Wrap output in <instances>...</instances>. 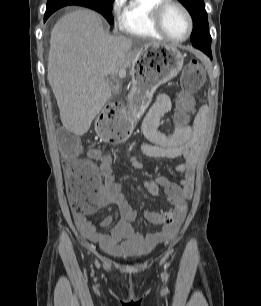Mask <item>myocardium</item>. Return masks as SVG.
Segmentation results:
<instances>
[{"mask_svg": "<svg viewBox=\"0 0 261 306\" xmlns=\"http://www.w3.org/2000/svg\"><path fill=\"white\" fill-rule=\"evenodd\" d=\"M169 6H175L177 8H179L183 14L185 15L186 19H187V24H188V29H187V33L183 38L180 39H176L171 37L162 22V17H163V13L165 11V9ZM152 22L154 27L156 28V30L168 41L173 42V43H182L184 41H186L192 31H193V20L191 17V14L189 12V10L186 8V6L184 4H182L181 2L177 1V0H162L157 6H155V8L153 9L152 12Z\"/></svg>", "mask_w": 261, "mask_h": 306, "instance_id": "f54148a6", "label": "myocardium"}]
</instances>
